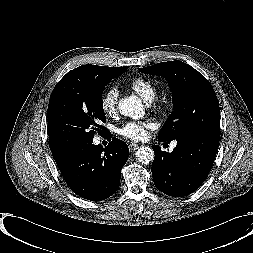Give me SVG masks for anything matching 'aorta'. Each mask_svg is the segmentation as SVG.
Segmentation results:
<instances>
[{"instance_id": "762f6f07", "label": "aorta", "mask_w": 253, "mask_h": 253, "mask_svg": "<svg viewBox=\"0 0 253 253\" xmlns=\"http://www.w3.org/2000/svg\"><path fill=\"white\" fill-rule=\"evenodd\" d=\"M120 113L133 119L141 118L144 109L141 100L136 96L123 98L118 106ZM136 157L142 164H149L154 159V151L150 147H141L136 152Z\"/></svg>"}]
</instances>
